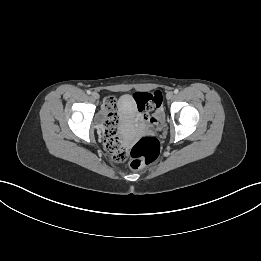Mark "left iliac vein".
Here are the masks:
<instances>
[{
    "mask_svg": "<svg viewBox=\"0 0 261 261\" xmlns=\"http://www.w3.org/2000/svg\"><path fill=\"white\" fill-rule=\"evenodd\" d=\"M173 97H174V93L173 92H168L167 94H166V98L168 99V100H171V99H173Z\"/></svg>",
    "mask_w": 261,
    "mask_h": 261,
    "instance_id": "4c4485c4",
    "label": "left iliac vein"
}]
</instances>
